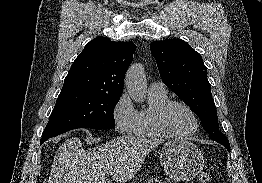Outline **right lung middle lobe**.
Returning a JSON list of instances; mask_svg holds the SVG:
<instances>
[{"mask_svg":"<svg viewBox=\"0 0 262 183\" xmlns=\"http://www.w3.org/2000/svg\"><path fill=\"white\" fill-rule=\"evenodd\" d=\"M120 96L93 91L60 93L42 138L57 136L76 128H113V110Z\"/></svg>","mask_w":262,"mask_h":183,"instance_id":"obj_1","label":"right lung middle lobe"}]
</instances>
